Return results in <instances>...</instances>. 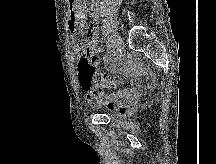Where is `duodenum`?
<instances>
[{
  "label": "duodenum",
  "instance_id": "410a0bca",
  "mask_svg": "<svg viewBox=\"0 0 216 164\" xmlns=\"http://www.w3.org/2000/svg\"><path fill=\"white\" fill-rule=\"evenodd\" d=\"M70 4H75L74 0H70ZM91 14L94 18L99 17L100 9H99V3L98 0H94L91 4Z\"/></svg>",
  "mask_w": 216,
  "mask_h": 164
}]
</instances>
